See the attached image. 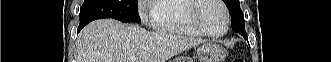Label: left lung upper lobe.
<instances>
[{
	"mask_svg": "<svg viewBox=\"0 0 331 62\" xmlns=\"http://www.w3.org/2000/svg\"><path fill=\"white\" fill-rule=\"evenodd\" d=\"M223 1L231 14V23L234 22L237 26H241L243 29H245L244 16L240 8L239 0Z\"/></svg>",
	"mask_w": 331,
	"mask_h": 62,
	"instance_id": "obj_1",
	"label": "left lung upper lobe"
}]
</instances>
